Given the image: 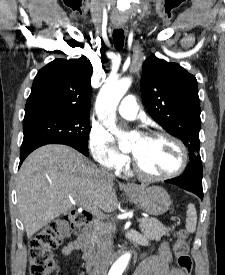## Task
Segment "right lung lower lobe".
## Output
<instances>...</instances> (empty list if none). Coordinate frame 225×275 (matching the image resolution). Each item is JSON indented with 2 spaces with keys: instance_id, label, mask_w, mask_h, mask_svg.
<instances>
[{
  "instance_id": "1",
  "label": "right lung lower lobe",
  "mask_w": 225,
  "mask_h": 275,
  "mask_svg": "<svg viewBox=\"0 0 225 275\" xmlns=\"http://www.w3.org/2000/svg\"><path fill=\"white\" fill-rule=\"evenodd\" d=\"M52 143H58V144H65V145H69L73 148H75L76 150H78L79 152H81L82 154L88 156V150L86 149H82L80 147H77L75 145H72L70 143H66V142H61V141H49V140H31V141H27V142H23L22 146H21V150H20V164L19 166L22 164V162L24 161V159L36 148L46 145V144H52Z\"/></svg>"
}]
</instances>
